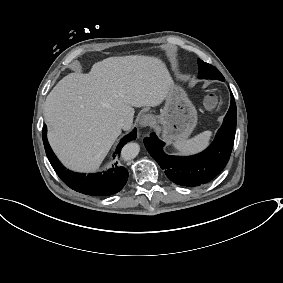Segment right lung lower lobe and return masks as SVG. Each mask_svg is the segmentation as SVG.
I'll use <instances>...</instances> for the list:
<instances>
[{"mask_svg": "<svg viewBox=\"0 0 283 283\" xmlns=\"http://www.w3.org/2000/svg\"><path fill=\"white\" fill-rule=\"evenodd\" d=\"M136 129L129 135L125 136L117 146L114 154L115 157L120 155L122 147L136 138ZM43 143L46 155L60 179L71 189L91 195V196H108L119 192L127 182L128 171L126 168L119 166L116 161L111 169L103 173L83 174L67 170L53 153L47 140V127L44 126L42 131Z\"/></svg>", "mask_w": 283, "mask_h": 283, "instance_id": "right-lung-lower-lobe-1", "label": "right lung lower lobe"}]
</instances>
